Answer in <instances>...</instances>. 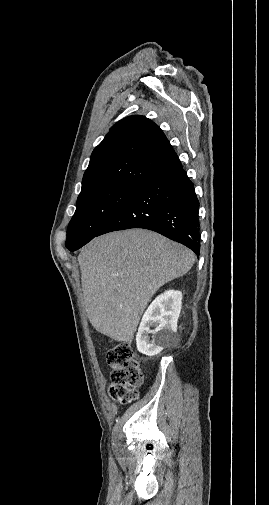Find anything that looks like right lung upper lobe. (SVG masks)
Returning a JSON list of instances; mask_svg holds the SVG:
<instances>
[{
  "label": "right lung upper lobe",
  "mask_w": 269,
  "mask_h": 505,
  "mask_svg": "<svg viewBox=\"0 0 269 505\" xmlns=\"http://www.w3.org/2000/svg\"><path fill=\"white\" fill-rule=\"evenodd\" d=\"M179 160L162 130L134 115L118 121L94 149L82 180V191L103 184L142 186Z\"/></svg>",
  "instance_id": "obj_1"
}]
</instances>
